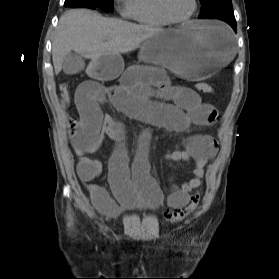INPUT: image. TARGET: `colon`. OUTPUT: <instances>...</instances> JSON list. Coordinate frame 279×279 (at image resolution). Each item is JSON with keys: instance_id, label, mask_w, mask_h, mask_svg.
Listing matches in <instances>:
<instances>
[{"instance_id": "5ec220e1", "label": "colon", "mask_w": 279, "mask_h": 279, "mask_svg": "<svg viewBox=\"0 0 279 279\" xmlns=\"http://www.w3.org/2000/svg\"><path fill=\"white\" fill-rule=\"evenodd\" d=\"M195 87L199 93L207 94L213 92V87L208 83H198ZM59 92L61 101L67 103L72 100V92L67 83H61L59 85ZM199 199L200 193L197 192L192 196L191 202L187 206L167 210L165 213L166 218L171 222L181 221L194 211L198 205Z\"/></svg>"}]
</instances>
